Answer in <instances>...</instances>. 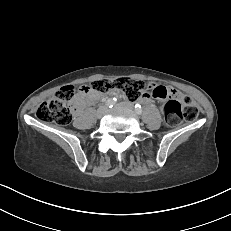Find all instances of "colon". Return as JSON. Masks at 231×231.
<instances>
[{
    "label": "colon",
    "instance_id": "1",
    "mask_svg": "<svg viewBox=\"0 0 231 231\" xmlns=\"http://www.w3.org/2000/svg\"><path fill=\"white\" fill-rule=\"evenodd\" d=\"M90 88L96 93L120 91L131 100L141 98L147 91L144 81L130 78L97 80L91 84ZM77 95L78 89L74 86L62 87L37 108L36 117L43 122H53L58 125L69 124L72 119L71 105ZM163 112L165 123L169 126H175L184 120L195 121L199 116V109L188 95L166 102Z\"/></svg>",
    "mask_w": 231,
    "mask_h": 231
}]
</instances>
